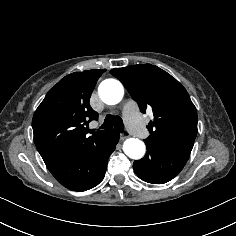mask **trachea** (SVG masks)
<instances>
[{"mask_svg":"<svg viewBox=\"0 0 236 236\" xmlns=\"http://www.w3.org/2000/svg\"><path fill=\"white\" fill-rule=\"evenodd\" d=\"M113 126L119 132L124 131L123 120L119 116L113 117L112 115L106 116L104 123L100 126V128L101 129H111Z\"/></svg>","mask_w":236,"mask_h":236,"instance_id":"1","label":"trachea"}]
</instances>
